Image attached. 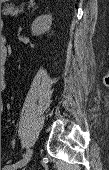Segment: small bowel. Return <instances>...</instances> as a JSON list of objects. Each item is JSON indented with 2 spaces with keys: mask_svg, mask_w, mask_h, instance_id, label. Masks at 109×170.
Wrapping results in <instances>:
<instances>
[{
  "mask_svg": "<svg viewBox=\"0 0 109 170\" xmlns=\"http://www.w3.org/2000/svg\"><path fill=\"white\" fill-rule=\"evenodd\" d=\"M1 42H2V44H5V43H6V40H5V39H2Z\"/></svg>",
  "mask_w": 109,
  "mask_h": 170,
  "instance_id": "c3829d8e",
  "label": "small bowel"
}]
</instances>
